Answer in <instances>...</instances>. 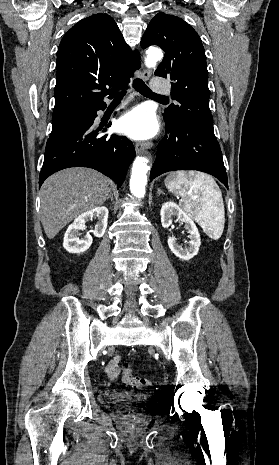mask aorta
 <instances>
[{"label": "aorta", "mask_w": 279, "mask_h": 465, "mask_svg": "<svg viewBox=\"0 0 279 465\" xmlns=\"http://www.w3.org/2000/svg\"><path fill=\"white\" fill-rule=\"evenodd\" d=\"M163 57L162 52L159 49H150L147 52L145 64L147 67L152 68L156 66V63ZM149 160L146 157H137L133 163L131 179H130V191L133 196L137 198H143L145 195V185L147 182V172Z\"/></svg>", "instance_id": "762f6f07"}]
</instances>
